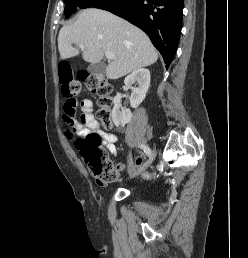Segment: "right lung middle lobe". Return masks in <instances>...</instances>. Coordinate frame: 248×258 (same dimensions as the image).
<instances>
[{"label": "right lung middle lobe", "instance_id": "obj_1", "mask_svg": "<svg viewBox=\"0 0 248 258\" xmlns=\"http://www.w3.org/2000/svg\"><path fill=\"white\" fill-rule=\"evenodd\" d=\"M65 4V17L69 18V16L74 13L77 9H85L89 7H95L96 5L103 3L107 0H63Z\"/></svg>", "mask_w": 248, "mask_h": 258}]
</instances>
